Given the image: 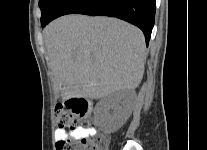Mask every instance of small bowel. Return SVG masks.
<instances>
[{"label":"small bowel","mask_w":207,"mask_h":150,"mask_svg":"<svg viewBox=\"0 0 207 150\" xmlns=\"http://www.w3.org/2000/svg\"><path fill=\"white\" fill-rule=\"evenodd\" d=\"M94 133H95V130L92 129V128H82V129L73 130V131L70 133V136H71L72 138H82V137H89V136H92V135H94ZM54 136H55V139H56L57 141L69 137V135H68V133L66 132V130H64V129H62V128L56 129V130H55V133H54Z\"/></svg>","instance_id":"c3829d8e"}]
</instances>
